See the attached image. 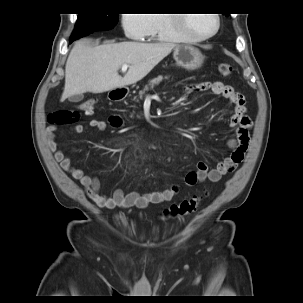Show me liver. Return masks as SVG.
<instances>
[{
    "mask_svg": "<svg viewBox=\"0 0 303 303\" xmlns=\"http://www.w3.org/2000/svg\"><path fill=\"white\" fill-rule=\"evenodd\" d=\"M176 45L169 42H107L91 46L79 40L72 48L65 66V87L61 101L86 92L103 93L143 79ZM129 65L124 77L118 70Z\"/></svg>",
    "mask_w": 303,
    "mask_h": 303,
    "instance_id": "obj_1",
    "label": "liver"
}]
</instances>
